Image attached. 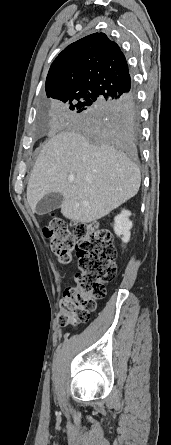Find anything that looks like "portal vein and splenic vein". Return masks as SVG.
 <instances>
[{
    "instance_id": "18ae733b",
    "label": "portal vein and splenic vein",
    "mask_w": 171,
    "mask_h": 445,
    "mask_svg": "<svg viewBox=\"0 0 171 445\" xmlns=\"http://www.w3.org/2000/svg\"><path fill=\"white\" fill-rule=\"evenodd\" d=\"M69 181H73L74 180V178L73 177H69V179H68Z\"/></svg>"
}]
</instances>
